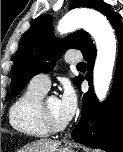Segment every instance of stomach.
Returning <instances> with one entry per match:
<instances>
[{"mask_svg": "<svg viewBox=\"0 0 123 152\" xmlns=\"http://www.w3.org/2000/svg\"><path fill=\"white\" fill-rule=\"evenodd\" d=\"M56 152H73L70 147H61Z\"/></svg>", "mask_w": 123, "mask_h": 152, "instance_id": "obj_1", "label": "stomach"}]
</instances>
